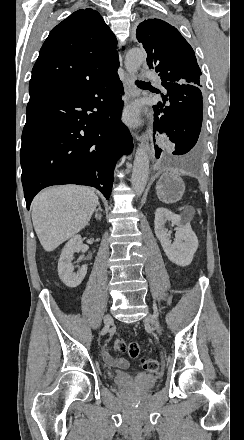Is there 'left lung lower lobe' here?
Segmentation results:
<instances>
[{
	"label": "left lung lower lobe",
	"mask_w": 244,
	"mask_h": 440,
	"mask_svg": "<svg viewBox=\"0 0 244 440\" xmlns=\"http://www.w3.org/2000/svg\"><path fill=\"white\" fill-rule=\"evenodd\" d=\"M167 95H162L161 102L153 106L154 133H166L175 143L174 155L189 152L197 143L203 117L201 85L162 82ZM161 149L155 147L156 158Z\"/></svg>",
	"instance_id": "1"
}]
</instances>
